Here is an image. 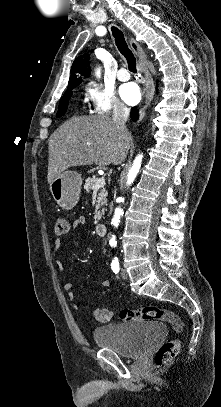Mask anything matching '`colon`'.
Instances as JSON below:
<instances>
[{
  "label": "colon",
  "instance_id": "5ec220e1",
  "mask_svg": "<svg viewBox=\"0 0 221 407\" xmlns=\"http://www.w3.org/2000/svg\"><path fill=\"white\" fill-rule=\"evenodd\" d=\"M69 224L65 217H59L56 222L55 233L64 235L68 232ZM94 318L99 322H109L113 313L109 309H95L93 311ZM120 318L123 321L130 322L134 320L145 321H162L169 323L176 333L183 332L182 320L173 312L159 308L157 306H144L136 310H122ZM179 340L172 339L163 343L155 353V366L157 369L166 367L179 352Z\"/></svg>",
  "mask_w": 221,
  "mask_h": 407
}]
</instances>
